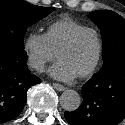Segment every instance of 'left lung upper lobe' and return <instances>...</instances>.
<instances>
[{
	"instance_id": "left-lung-upper-lobe-1",
	"label": "left lung upper lobe",
	"mask_w": 125,
	"mask_h": 125,
	"mask_svg": "<svg viewBox=\"0 0 125 125\" xmlns=\"http://www.w3.org/2000/svg\"><path fill=\"white\" fill-rule=\"evenodd\" d=\"M88 17L101 30L103 40L102 68L114 61L125 60V19L110 10L93 11Z\"/></svg>"
}]
</instances>
